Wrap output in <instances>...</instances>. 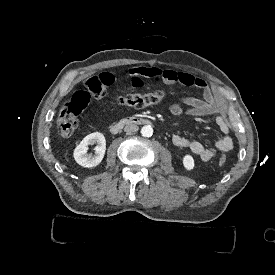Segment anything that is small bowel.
I'll list each match as a JSON object with an SVG mask.
<instances>
[{
    "instance_id": "obj_1",
    "label": "small bowel",
    "mask_w": 275,
    "mask_h": 275,
    "mask_svg": "<svg viewBox=\"0 0 275 275\" xmlns=\"http://www.w3.org/2000/svg\"><path fill=\"white\" fill-rule=\"evenodd\" d=\"M131 82L134 87H140L146 80L155 83L181 84L184 86H195L202 90L203 97H184L170 106V113L173 116H181L184 109L189 117H205L217 115L216 123L225 134L218 138L212 147L206 146L198 140L187 139L180 135L173 136V144L179 148L189 149L200 160L208 162L216 157L218 152L229 151L233 148L234 142L230 137V127L225 119L226 108L218 101L211 87L200 79L194 78L186 72L175 70H162L155 67H134L130 70ZM101 82L106 86L115 87L117 79L110 71H104L100 75Z\"/></svg>"
}]
</instances>
